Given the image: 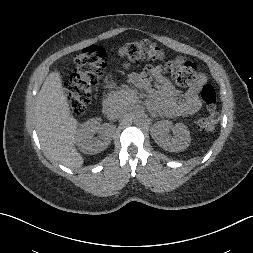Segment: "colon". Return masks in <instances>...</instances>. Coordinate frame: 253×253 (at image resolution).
<instances>
[{"mask_svg":"<svg viewBox=\"0 0 253 253\" xmlns=\"http://www.w3.org/2000/svg\"><path fill=\"white\" fill-rule=\"evenodd\" d=\"M121 57L130 60H156L160 58L161 49L155 43L142 40L127 43L118 50ZM75 68L64 83L72 111L80 115L92 99V89L103 76L106 68V52L99 46L92 45L83 49L74 57ZM166 71L180 86H189L201 82L203 77L197 66L182 58H175L166 64ZM201 97L207 105L208 112L197 121L201 131H213L219 120L216 110V92L212 85L205 84Z\"/></svg>","mask_w":253,"mask_h":253,"instance_id":"obj_1","label":"colon"}]
</instances>
